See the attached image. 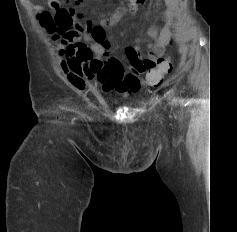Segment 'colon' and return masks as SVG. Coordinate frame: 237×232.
I'll list each match as a JSON object with an SVG mask.
<instances>
[{
  "label": "colon",
  "mask_w": 237,
  "mask_h": 232,
  "mask_svg": "<svg viewBox=\"0 0 237 232\" xmlns=\"http://www.w3.org/2000/svg\"><path fill=\"white\" fill-rule=\"evenodd\" d=\"M83 0H76L80 3ZM145 0H131L133 5L140 4ZM69 0H49L52 11H43L39 15L42 26L54 34L62 36L63 40H71L79 34L95 32L99 26H93L90 22L78 18L74 11L67 7ZM172 70V61L169 56L158 60L154 69L148 71L146 83L150 86H159L164 81V76Z\"/></svg>",
  "instance_id": "1"
}]
</instances>
